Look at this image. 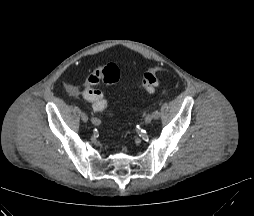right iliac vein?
<instances>
[{
	"instance_id": "63e3f726",
	"label": "right iliac vein",
	"mask_w": 254,
	"mask_h": 216,
	"mask_svg": "<svg viewBox=\"0 0 254 216\" xmlns=\"http://www.w3.org/2000/svg\"><path fill=\"white\" fill-rule=\"evenodd\" d=\"M80 118H81V120L84 122V123H86V122H88L89 121V118H88V116H87V114L86 113H81L80 114Z\"/></svg>"
}]
</instances>
